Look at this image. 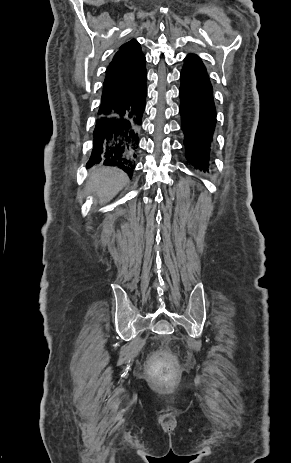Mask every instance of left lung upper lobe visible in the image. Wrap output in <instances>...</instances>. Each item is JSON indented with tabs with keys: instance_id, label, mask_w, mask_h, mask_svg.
<instances>
[{
	"instance_id": "left-lung-upper-lobe-1",
	"label": "left lung upper lobe",
	"mask_w": 291,
	"mask_h": 463,
	"mask_svg": "<svg viewBox=\"0 0 291 463\" xmlns=\"http://www.w3.org/2000/svg\"><path fill=\"white\" fill-rule=\"evenodd\" d=\"M184 66L183 68H190L193 70L201 71L207 73V70L202 63L201 59L195 54H188L187 57L184 59Z\"/></svg>"
}]
</instances>
